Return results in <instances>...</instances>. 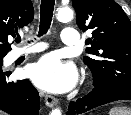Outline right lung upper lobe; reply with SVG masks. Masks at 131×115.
I'll return each instance as SVG.
<instances>
[{
    "mask_svg": "<svg viewBox=\"0 0 131 115\" xmlns=\"http://www.w3.org/2000/svg\"><path fill=\"white\" fill-rule=\"evenodd\" d=\"M34 17L31 0H0V58H3L11 47L9 36L18 34V30Z\"/></svg>",
    "mask_w": 131,
    "mask_h": 115,
    "instance_id": "cb5924a9",
    "label": "right lung upper lobe"
}]
</instances>
